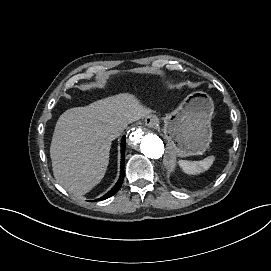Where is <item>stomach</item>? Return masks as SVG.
<instances>
[{
  "label": "stomach",
  "mask_w": 271,
  "mask_h": 271,
  "mask_svg": "<svg viewBox=\"0 0 271 271\" xmlns=\"http://www.w3.org/2000/svg\"><path fill=\"white\" fill-rule=\"evenodd\" d=\"M211 98L202 92L188 96L174 112L164 117V137L176 156L203 153L211 142Z\"/></svg>",
  "instance_id": "stomach-1"
}]
</instances>
